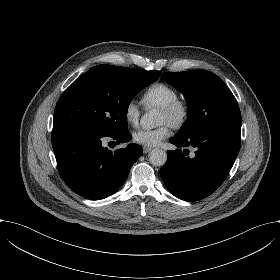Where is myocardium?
Instances as JSON below:
<instances>
[{"mask_svg":"<svg viewBox=\"0 0 280 280\" xmlns=\"http://www.w3.org/2000/svg\"><path fill=\"white\" fill-rule=\"evenodd\" d=\"M160 108L172 115L171 125L175 128L183 126L190 118V104L184 99L178 98L173 102L161 105Z\"/></svg>","mask_w":280,"mask_h":280,"instance_id":"obj_1","label":"myocardium"}]
</instances>
